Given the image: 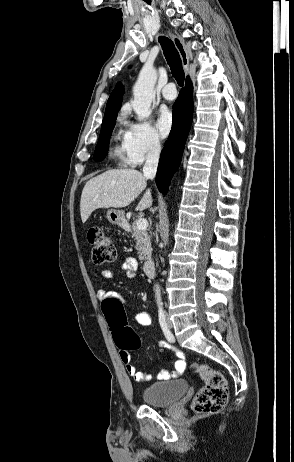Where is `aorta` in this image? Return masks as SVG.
Masks as SVG:
<instances>
[{
	"label": "aorta",
	"instance_id": "aorta-1",
	"mask_svg": "<svg viewBox=\"0 0 294 462\" xmlns=\"http://www.w3.org/2000/svg\"><path fill=\"white\" fill-rule=\"evenodd\" d=\"M156 81V69L152 66L144 65L133 88L134 100L132 102V107L139 120H143L151 114L150 107L155 98L154 86ZM154 290L156 303L158 306H161V290L158 284L155 285Z\"/></svg>",
	"mask_w": 294,
	"mask_h": 462
}]
</instances>
